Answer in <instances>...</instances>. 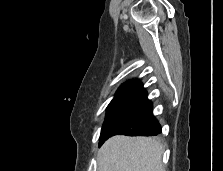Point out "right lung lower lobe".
Listing matches in <instances>:
<instances>
[{"label":"right lung lower lobe","mask_w":223,"mask_h":171,"mask_svg":"<svg viewBox=\"0 0 223 171\" xmlns=\"http://www.w3.org/2000/svg\"><path fill=\"white\" fill-rule=\"evenodd\" d=\"M161 133V126L152 115V103L147 94L137 99L133 105L119 117L100 139V145L114 135L153 136Z\"/></svg>","instance_id":"98d812e1"}]
</instances>
